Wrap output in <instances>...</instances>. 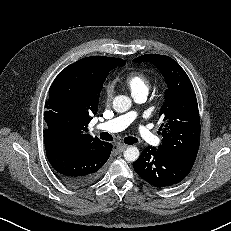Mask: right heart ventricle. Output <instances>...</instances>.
<instances>
[{"instance_id": "right-heart-ventricle-1", "label": "right heart ventricle", "mask_w": 231, "mask_h": 231, "mask_svg": "<svg viewBox=\"0 0 231 231\" xmlns=\"http://www.w3.org/2000/svg\"><path fill=\"white\" fill-rule=\"evenodd\" d=\"M124 85L130 91L132 96L140 93H148L149 91V78L140 71H132L124 78Z\"/></svg>"}]
</instances>
